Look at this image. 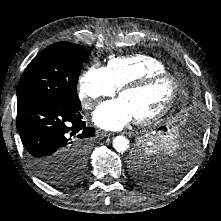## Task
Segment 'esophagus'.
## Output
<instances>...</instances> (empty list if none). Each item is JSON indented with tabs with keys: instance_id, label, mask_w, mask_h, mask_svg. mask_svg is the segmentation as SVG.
Returning a JSON list of instances; mask_svg holds the SVG:
<instances>
[{
	"instance_id": "esophagus-1",
	"label": "esophagus",
	"mask_w": 221,
	"mask_h": 221,
	"mask_svg": "<svg viewBox=\"0 0 221 221\" xmlns=\"http://www.w3.org/2000/svg\"><path fill=\"white\" fill-rule=\"evenodd\" d=\"M100 135H101L102 137H108V136L111 135V133L102 131V132H100Z\"/></svg>"
}]
</instances>
